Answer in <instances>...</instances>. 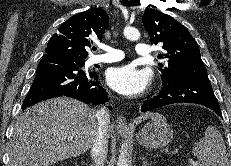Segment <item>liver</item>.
I'll use <instances>...</instances> for the list:
<instances>
[{
	"label": "liver",
	"mask_w": 231,
	"mask_h": 166,
	"mask_svg": "<svg viewBox=\"0 0 231 166\" xmlns=\"http://www.w3.org/2000/svg\"><path fill=\"white\" fill-rule=\"evenodd\" d=\"M95 113L69 98L47 100L26 109L14 126L9 166H49L87 152L98 132ZM152 115L143 114L136 123Z\"/></svg>",
	"instance_id": "6515ba94"
}]
</instances>
